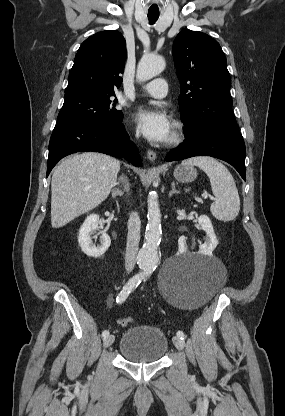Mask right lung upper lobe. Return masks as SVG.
Masks as SVG:
<instances>
[{
    "mask_svg": "<svg viewBox=\"0 0 285 416\" xmlns=\"http://www.w3.org/2000/svg\"><path fill=\"white\" fill-rule=\"evenodd\" d=\"M126 57V42L119 31L106 30L89 37L77 51L65 96H115Z\"/></svg>",
    "mask_w": 285,
    "mask_h": 416,
    "instance_id": "right-lung-upper-lobe-1",
    "label": "right lung upper lobe"
}]
</instances>
